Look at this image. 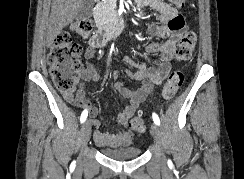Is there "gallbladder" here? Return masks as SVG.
Wrapping results in <instances>:
<instances>
[{
  "label": "gallbladder",
  "mask_w": 244,
  "mask_h": 179,
  "mask_svg": "<svg viewBox=\"0 0 244 179\" xmlns=\"http://www.w3.org/2000/svg\"><path fill=\"white\" fill-rule=\"evenodd\" d=\"M94 4L95 0H82L81 6L76 14V20H85V18H91Z\"/></svg>",
  "instance_id": "1"
}]
</instances>
